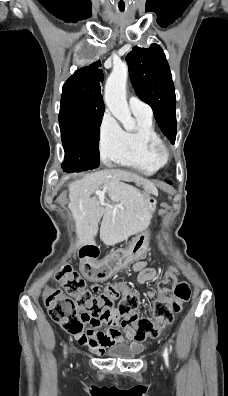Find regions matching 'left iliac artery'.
<instances>
[{
  "mask_svg": "<svg viewBox=\"0 0 228 396\" xmlns=\"http://www.w3.org/2000/svg\"><path fill=\"white\" fill-rule=\"evenodd\" d=\"M164 356H165V357L168 356V349H167V347H166L165 350H164Z\"/></svg>",
  "mask_w": 228,
  "mask_h": 396,
  "instance_id": "left-iliac-artery-1",
  "label": "left iliac artery"
}]
</instances>
